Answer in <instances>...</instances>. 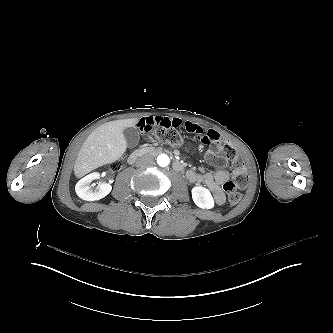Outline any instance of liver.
I'll list each match as a JSON object with an SVG mask.
<instances>
[{
    "instance_id": "1",
    "label": "liver",
    "mask_w": 333,
    "mask_h": 333,
    "mask_svg": "<svg viewBox=\"0 0 333 333\" xmlns=\"http://www.w3.org/2000/svg\"><path fill=\"white\" fill-rule=\"evenodd\" d=\"M138 121L137 118L110 121L92 131L76 158L75 176L81 178L102 165L119 160L127 148L123 130L134 127Z\"/></svg>"
}]
</instances>
